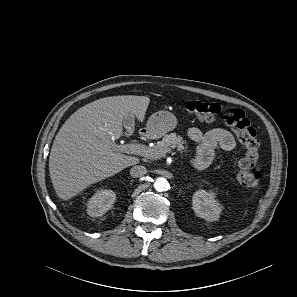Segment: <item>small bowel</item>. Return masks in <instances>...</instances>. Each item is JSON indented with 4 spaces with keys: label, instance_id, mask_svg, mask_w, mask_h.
Wrapping results in <instances>:
<instances>
[{
    "label": "small bowel",
    "instance_id": "small-bowel-1",
    "mask_svg": "<svg viewBox=\"0 0 297 297\" xmlns=\"http://www.w3.org/2000/svg\"><path fill=\"white\" fill-rule=\"evenodd\" d=\"M187 135L190 140L198 144L197 154L193 160L197 168H205L217 159V146L225 151H231L235 147L233 135L223 128H213L203 132L197 127H191Z\"/></svg>",
    "mask_w": 297,
    "mask_h": 297
}]
</instances>
